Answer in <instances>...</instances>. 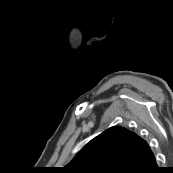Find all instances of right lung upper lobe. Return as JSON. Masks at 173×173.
Returning a JSON list of instances; mask_svg holds the SVG:
<instances>
[{"instance_id": "obj_1", "label": "right lung upper lobe", "mask_w": 173, "mask_h": 173, "mask_svg": "<svg viewBox=\"0 0 173 173\" xmlns=\"http://www.w3.org/2000/svg\"><path fill=\"white\" fill-rule=\"evenodd\" d=\"M136 133L114 126L92 139L62 173H124L132 164L152 154Z\"/></svg>"}]
</instances>
